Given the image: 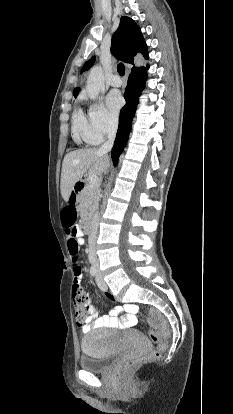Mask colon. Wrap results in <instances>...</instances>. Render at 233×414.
Here are the masks:
<instances>
[{
    "instance_id": "obj_1",
    "label": "colon",
    "mask_w": 233,
    "mask_h": 414,
    "mask_svg": "<svg viewBox=\"0 0 233 414\" xmlns=\"http://www.w3.org/2000/svg\"><path fill=\"white\" fill-rule=\"evenodd\" d=\"M75 219L76 212L74 209L71 212H64L63 224L68 236V249L70 254L74 250H79V244L76 238ZM72 300L77 323L79 326H83L88 321L87 315H84V310H86V306L88 305V297L82 285L81 288L76 292L72 288ZM147 321L153 327V330L150 332V337L155 343H158L157 348L150 353V357L157 358L165 349V344L162 342V337L163 335H167L169 333L168 326L162 314L154 308H150L148 310ZM139 362L140 357H130L125 361L123 369L125 371L131 370L136 367Z\"/></svg>"
}]
</instances>
